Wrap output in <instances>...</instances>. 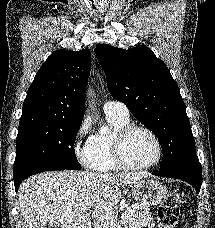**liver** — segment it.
Returning <instances> with one entry per match:
<instances>
[{
  "label": "liver",
  "instance_id": "6515ba94",
  "mask_svg": "<svg viewBox=\"0 0 215 228\" xmlns=\"http://www.w3.org/2000/svg\"><path fill=\"white\" fill-rule=\"evenodd\" d=\"M147 178L132 174L44 172L30 176L19 188L18 204L25 228H115L121 188ZM95 198L89 212L85 204Z\"/></svg>",
  "mask_w": 215,
  "mask_h": 228
}]
</instances>
